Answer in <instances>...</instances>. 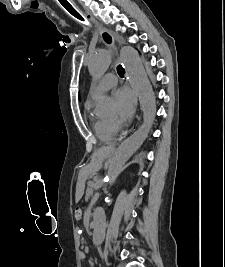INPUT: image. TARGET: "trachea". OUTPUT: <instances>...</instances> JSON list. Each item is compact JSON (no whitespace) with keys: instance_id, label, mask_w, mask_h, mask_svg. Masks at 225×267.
<instances>
[{"instance_id":"3493384b","label":"trachea","mask_w":225,"mask_h":267,"mask_svg":"<svg viewBox=\"0 0 225 267\" xmlns=\"http://www.w3.org/2000/svg\"><path fill=\"white\" fill-rule=\"evenodd\" d=\"M73 16L76 17L77 19L81 20V21H84V18L80 14H75ZM104 38L110 39V37L107 34H104ZM117 72H118L119 76H123L125 73V70L121 65H118L117 66Z\"/></svg>"}]
</instances>
